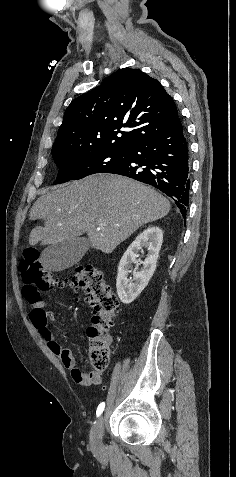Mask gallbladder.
<instances>
[{"label": "gallbladder", "instance_id": "1", "mask_svg": "<svg viewBox=\"0 0 236 477\" xmlns=\"http://www.w3.org/2000/svg\"><path fill=\"white\" fill-rule=\"evenodd\" d=\"M90 246V241L86 238L67 239L44 249L41 262L48 270L62 271L78 263Z\"/></svg>", "mask_w": 236, "mask_h": 477}]
</instances>
